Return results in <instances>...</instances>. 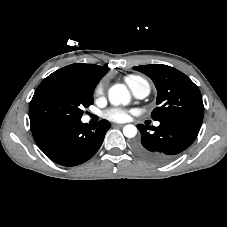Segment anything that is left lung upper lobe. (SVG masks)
<instances>
[{
	"label": "left lung upper lobe",
	"instance_id": "left-lung-upper-lobe-1",
	"mask_svg": "<svg viewBox=\"0 0 227 227\" xmlns=\"http://www.w3.org/2000/svg\"><path fill=\"white\" fill-rule=\"evenodd\" d=\"M152 79L157 89L153 120L188 119L202 123L204 106L198 87L182 72L163 64L133 67Z\"/></svg>",
	"mask_w": 227,
	"mask_h": 227
}]
</instances>
